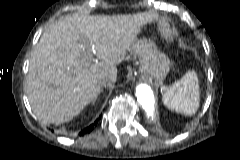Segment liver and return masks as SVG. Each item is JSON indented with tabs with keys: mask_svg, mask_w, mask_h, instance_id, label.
<instances>
[{
	"mask_svg": "<svg viewBox=\"0 0 240 160\" xmlns=\"http://www.w3.org/2000/svg\"><path fill=\"white\" fill-rule=\"evenodd\" d=\"M158 20L154 12L133 15H73L60 18L41 35L27 75V95L43 123L70 121L100 92V81L117 78L116 64L135 52L138 34ZM167 32L166 23L158 22ZM97 56L101 61L92 63Z\"/></svg>",
	"mask_w": 240,
	"mask_h": 160,
	"instance_id": "liver-1",
	"label": "liver"
}]
</instances>
